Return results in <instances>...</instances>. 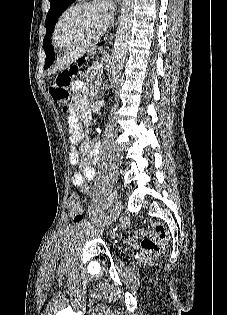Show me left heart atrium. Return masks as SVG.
I'll use <instances>...</instances> for the list:
<instances>
[{
  "label": "left heart atrium",
  "instance_id": "1",
  "mask_svg": "<svg viewBox=\"0 0 227 315\" xmlns=\"http://www.w3.org/2000/svg\"><path fill=\"white\" fill-rule=\"evenodd\" d=\"M100 6L103 13L107 15V10L110 8V2L108 0H100Z\"/></svg>",
  "mask_w": 227,
  "mask_h": 315
}]
</instances>
